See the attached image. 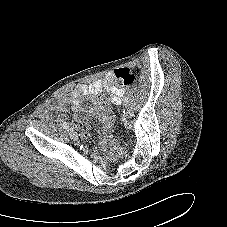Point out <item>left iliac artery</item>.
I'll list each match as a JSON object with an SVG mask.
<instances>
[{
	"instance_id": "44dca946",
	"label": "left iliac artery",
	"mask_w": 227,
	"mask_h": 227,
	"mask_svg": "<svg viewBox=\"0 0 227 227\" xmlns=\"http://www.w3.org/2000/svg\"><path fill=\"white\" fill-rule=\"evenodd\" d=\"M123 103H124L125 106L130 105V104H129V100H128V98H126V97L124 98Z\"/></svg>"
}]
</instances>
